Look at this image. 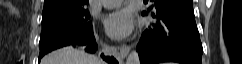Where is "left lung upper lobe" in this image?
<instances>
[{
  "label": "left lung upper lobe",
  "mask_w": 242,
  "mask_h": 64,
  "mask_svg": "<svg viewBox=\"0 0 242 64\" xmlns=\"http://www.w3.org/2000/svg\"><path fill=\"white\" fill-rule=\"evenodd\" d=\"M147 1H148V0H147ZM159 1H161V0H155V5H156Z\"/></svg>",
  "instance_id": "left-lung-upper-lobe-1"
}]
</instances>
